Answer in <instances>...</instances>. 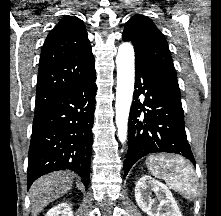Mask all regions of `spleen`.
<instances>
[{
  "label": "spleen",
  "mask_w": 221,
  "mask_h": 216,
  "mask_svg": "<svg viewBox=\"0 0 221 216\" xmlns=\"http://www.w3.org/2000/svg\"><path fill=\"white\" fill-rule=\"evenodd\" d=\"M150 173L162 179L174 191L184 197L197 193L196 176L189 161L179 155L150 156L146 161Z\"/></svg>",
  "instance_id": "1"
}]
</instances>
